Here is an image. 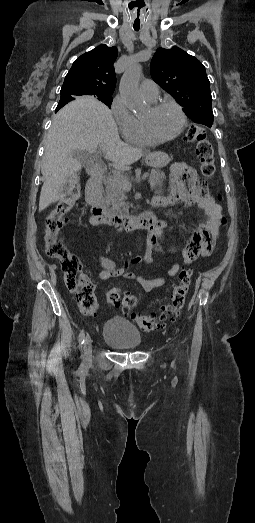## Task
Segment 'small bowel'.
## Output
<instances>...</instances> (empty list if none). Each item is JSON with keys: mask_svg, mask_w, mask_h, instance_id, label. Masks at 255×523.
Returning a JSON list of instances; mask_svg holds the SVG:
<instances>
[{"mask_svg": "<svg viewBox=\"0 0 255 523\" xmlns=\"http://www.w3.org/2000/svg\"><path fill=\"white\" fill-rule=\"evenodd\" d=\"M181 179L174 178L172 181V191L165 198L167 205H174L182 202L184 205H196L205 215V220L193 230L190 239L181 249L182 261L186 265L192 264L198 257L209 256L214 247L215 240L219 234L221 223V207L215 203L210 192L202 181L196 170L186 164H180L175 168ZM90 223L93 224L90 218ZM168 227L167 222L157 221L156 225L150 229L147 248L142 256L128 259L124 266L117 268L115 262L107 257L100 256L99 261L102 270L92 279L93 281H104L112 277H124L135 280L146 292H151L164 285L165 279L162 277L146 279L141 274H137L131 268L141 262L153 264V252L162 251L160 244L164 230ZM180 270L178 264H174L168 271L169 276H175Z\"/></svg>", "mask_w": 255, "mask_h": 523, "instance_id": "c3829d8e", "label": "small bowel"}]
</instances>
